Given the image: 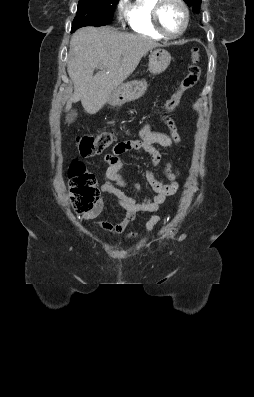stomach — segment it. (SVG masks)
I'll return each mask as SVG.
<instances>
[{
  "mask_svg": "<svg viewBox=\"0 0 254 397\" xmlns=\"http://www.w3.org/2000/svg\"><path fill=\"white\" fill-rule=\"evenodd\" d=\"M171 55L165 49H154L150 51L148 70L157 75L164 72L169 66ZM148 84L145 80H132L121 84L114 89L108 103L111 105H122L142 97L147 90Z\"/></svg>",
  "mask_w": 254,
  "mask_h": 397,
  "instance_id": "1",
  "label": "stomach"
}]
</instances>
